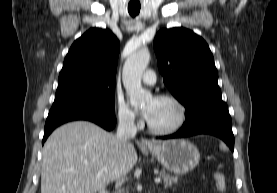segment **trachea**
Instances as JSON below:
<instances>
[{
  "mask_svg": "<svg viewBox=\"0 0 277 193\" xmlns=\"http://www.w3.org/2000/svg\"><path fill=\"white\" fill-rule=\"evenodd\" d=\"M128 12L131 16L135 17L136 15L139 14L140 12V6H132V5H128Z\"/></svg>",
  "mask_w": 277,
  "mask_h": 193,
  "instance_id": "obj_1",
  "label": "trachea"
}]
</instances>
